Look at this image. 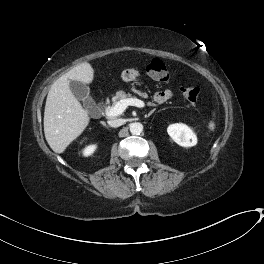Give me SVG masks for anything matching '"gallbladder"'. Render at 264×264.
<instances>
[{"instance_id": "1", "label": "gallbladder", "mask_w": 264, "mask_h": 264, "mask_svg": "<svg viewBox=\"0 0 264 264\" xmlns=\"http://www.w3.org/2000/svg\"><path fill=\"white\" fill-rule=\"evenodd\" d=\"M70 89L73 95L80 101L86 109L92 110L95 107V102L92 97L89 96V88L87 85L80 81H70Z\"/></svg>"}]
</instances>
